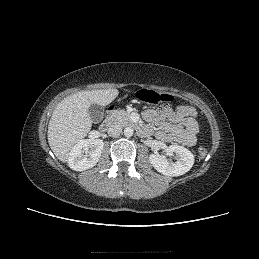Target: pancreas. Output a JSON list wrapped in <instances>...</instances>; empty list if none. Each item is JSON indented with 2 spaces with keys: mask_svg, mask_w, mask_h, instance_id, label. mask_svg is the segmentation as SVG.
Instances as JSON below:
<instances>
[{
  "mask_svg": "<svg viewBox=\"0 0 259 259\" xmlns=\"http://www.w3.org/2000/svg\"><path fill=\"white\" fill-rule=\"evenodd\" d=\"M110 120L120 124L121 126H127L133 124L129 118V113L123 109H117L110 115Z\"/></svg>",
  "mask_w": 259,
  "mask_h": 259,
  "instance_id": "obj_1",
  "label": "pancreas"
}]
</instances>
